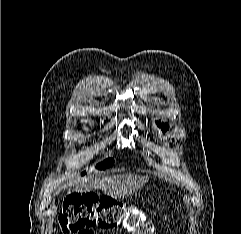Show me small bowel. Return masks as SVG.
Segmentation results:
<instances>
[{"instance_id":"1","label":"small bowel","mask_w":241,"mask_h":234,"mask_svg":"<svg viewBox=\"0 0 241 234\" xmlns=\"http://www.w3.org/2000/svg\"><path fill=\"white\" fill-rule=\"evenodd\" d=\"M78 234H92V232H90L88 230H81L78 232Z\"/></svg>"}]
</instances>
